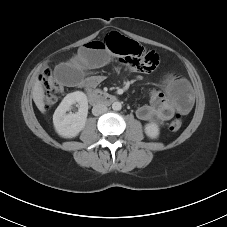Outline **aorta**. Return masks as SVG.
<instances>
[{
	"mask_svg": "<svg viewBox=\"0 0 227 227\" xmlns=\"http://www.w3.org/2000/svg\"><path fill=\"white\" fill-rule=\"evenodd\" d=\"M122 108V105L120 102L116 101L112 104V109L115 110V111H119L121 110Z\"/></svg>",
	"mask_w": 227,
	"mask_h": 227,
	"instance_id": "1",
	"label": "aorta"
}]
</instances>
